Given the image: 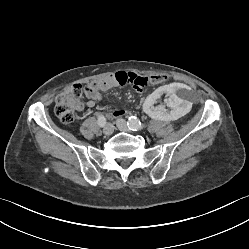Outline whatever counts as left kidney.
<instances>
[{
	"mask_svg": "<svg viewBox=\"0 0 249 249\" xmlns=\"http://www.w3.org/2000/svg\"><path fill=\"white\" fill-rule=\"evenodd\" d=\"M184 88L185 85L177 82L161 85L142 102V112L160 121L182 120L191 110V102L181 98Z\"/></svg>",
	"mask_w": 249,
	"mask_h": 249,
	"instance_id": "left-kidney-1",
	"label": "left kidney"
}]
</instances>
